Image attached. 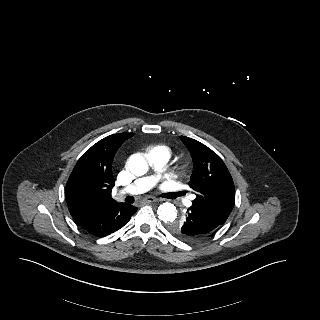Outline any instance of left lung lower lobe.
<instances>
[{
  "instance_id": "obj_1",
  "label": "left lung lower lobe",
  "mask_w": 320,
  "mask_h": 320,
  "mask_svg": "<svg viewBox=\"0 0 320 320\" xmlns=\"http://www.w3.org/2000/svg\"><path fill=\"white\" fill-rule=\"evenodd\" d=\"M221 225L209 215L193 207L188 208L187 214L182 220V230L196 240L209 236Z\"/></svg>"
}]
</instances>
